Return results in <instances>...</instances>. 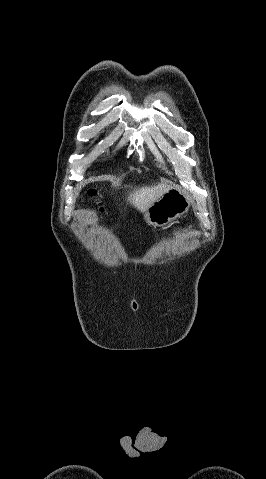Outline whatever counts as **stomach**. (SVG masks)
Returning a JSON list of instances; mask_svg holds the SVG:
<instances>
[{"label": "stomach", "instance_id": "obj_1", "mask_svg": "<svg viewBox=\"0 0 266 479\" xmlns=\"http://www.w3.org/2000/svg\"><path fill=\"white\" fill-rule=\"evenodd\" d=\"M190 198L178 188H170L145 211L144 219L154 227H165L188 212Z\"/></svg>", "mask_w": 266, "mask_h": 479}]
</instances>
